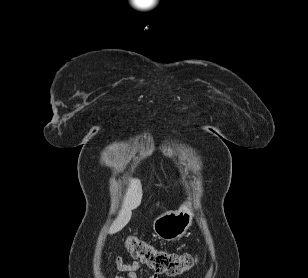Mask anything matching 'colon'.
<instances>
[{
  "label": "colon",
  "instance_id": "obj_1",
  "mask_svg": "<svg viewBox=\"0 0 308 278\" xmlns=\"http://www.w3.org/2000/svg\"><path fill=\"white\" fill-rule=\"evenodd\" d=\"M125 245L134 258L158 274L179 275L191 269L196 263V258L190 254L158 249L135 236L128 237Z\"/></svg>",
  "mask_w": 308,
  "mask_h": 278
}]
</instances>
